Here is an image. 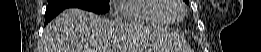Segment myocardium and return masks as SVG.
<instances>
[{"instance_id":"myocardium-1","label":"myocardium","mask_w":261,"mask_h":52,"mask_svg":"<svg viewBox=\"0 0 261 52\" xmlns=\"http://www.w3.org/2000/svg\"><path fill=\"white\" fill-rule=\"evenodd\" d=\"M165 1L168 2L169 6L164 11V16L168 19L169 23L173 24V23L181 22L186 15V8L183 4V1L182 0H165ZM176 8H180V10L182 11V16L179 19H171L170 13L174 11Z\"/></svg>"}]
</instances>
